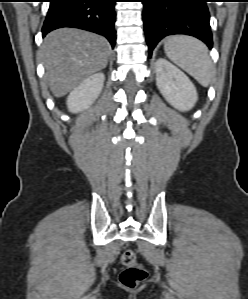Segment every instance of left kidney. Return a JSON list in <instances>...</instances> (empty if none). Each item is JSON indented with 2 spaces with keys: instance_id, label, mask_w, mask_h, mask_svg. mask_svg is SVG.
Masks as SVG:
<instances>
[{
  "instance_id": "1",
  "label": "left kidney",
  "mask_w": 248,
  "mask_h": 299,
  "mask_svg": "<svg viewBox=\"0 0 248 299\" xmlns=\"http://www.w3.org/2000/svg\"><path fill=\"white\" fill-rule=\"evenodd\" d=\"M156 84L166 101L179 111L190 110L198 99L190 79L177 67L163 58L155 64Z\"/></svg>"
}]
</instances>
